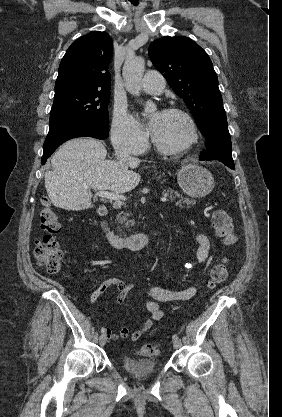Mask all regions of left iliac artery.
<instances>
[{
    "mask_svg": "<svg viewBox=\"0 0 282 417\" xmlns=\"http://www.w3.org/2000/svg\"><path fill=\"white\" fill-rule=\"evenodd\" d=\"M174 340H178L179 339V337L175 334V335H173V337H172Z\"/></svg>",
    "mask_w": 282,
    "mask_h": 417,
    "instance_id": "left-iliac-artery-1",
    "label": "left iliac artery"
}]
</instances>
